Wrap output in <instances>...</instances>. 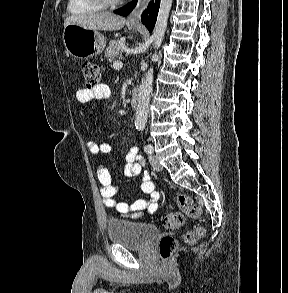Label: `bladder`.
<instances>
[{
  "instance_id": "1",
  "label": "bladder",
  "mask_w": 288,
  "mask_h": 293,
  "mask_svg": "<svg viewBox=\"0 0 288 293\" xmlns=\"http://www.w3.org/2000/svg\"><path fill=\"white\" fill-rule=\"evenodd\" d=\"M111 242L129 249H145L158 236L155 226L125 220H109L106 225Z\"/></svg>"
}]
</instances>
